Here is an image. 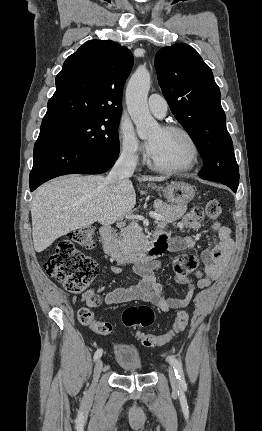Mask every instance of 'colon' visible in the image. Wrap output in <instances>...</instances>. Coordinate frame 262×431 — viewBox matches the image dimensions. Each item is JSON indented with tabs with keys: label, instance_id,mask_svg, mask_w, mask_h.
I'll use <instances>...</instances> for the list:
<instances>
[{
	"label": "colon",
	"instance_id": "1",
	"mask_svg": "<svg viewBox=\"0 0 262 431\" xmlns=\"http://www.w3.org/2000/svg\"><path fill=\"white\" fill-rule=\"evenodd\" d=\"M204 210L206 217L212 221L219 219L222 213L220 202L214 198L206 203ZM94 235L95 230L92 227L72 231L43 263L46 274L62 283L68 292L77 293L87 289L98 274L99 268L96 261L85 256L75 247L76 244L83 248L93 247ZM78 317L82 326L96 329L102 335H107L112 331L111 324L97 320L88 310L82 309ZM153 321L154 312L147 305L129 307L122 314L124 326L132 330H137L141 326H149ZM188 321V313L179 311L169 334L150 335L138 332L137 335L145 347L162 345L175 334L182 332Z\"/></svg>",
	"mask_w": 262,
	"mask_h": 431
}]
</instances>
